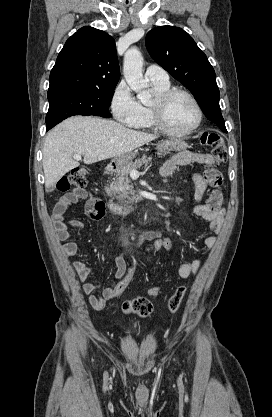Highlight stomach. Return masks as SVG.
I'll use <instances>...</instances> for the list:
<instances>
[{"label": "stomach", "mask_w": 272, "mask_h": 417, "mask_svg": "<svg viewBox=\"0 0 272 417\" xmlns=\"http://www.w3.org/2000/svg\"><path fill=\"white\" fill-rule=\"evenodd\" d=\"M186 147H187V144L183 141L169 140V141H163L160 144H158L156 149L158 150L160 155H165L174 150H183ZM136 155H137V150L120 155L112 160L111 166L115 167L116 169H121L124 166H126L128 163H130L132 159L135 158Z\"/></svg>", "instance_id": "0dacf381"}]
</instances>
